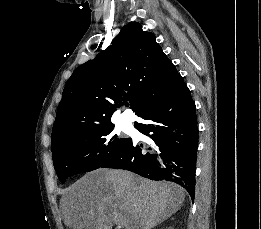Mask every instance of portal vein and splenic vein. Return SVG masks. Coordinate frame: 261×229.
Listing matches in <instances>:
<instances>
[{
	"label": "portal vein and splenic vein",
	"mask_w": 261,
	"mask_h": 229,
	"mask_svg": "<svg viewBox=\"0 0 261 229\" xmlns=\"http://www.w3.org/2000/svg\"><path fill=\"white\" fill-rule=\"evenodd\" d=\"M120 225H122V221H120ZM117 229H122V227H117Z\"/></svg>",
	"instance_id": "obj_1"
}]
</instances>
